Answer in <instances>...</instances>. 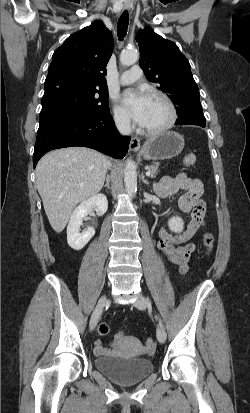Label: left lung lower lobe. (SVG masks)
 I'll return each mask as SVG.
<instances>
[{"mask_svg":"<svg viewBox=\"0 0 250 413\" xmlns=\"http://www.w3.org/2000/svg\"><path fill=\"white\" fill-rule=\"evenodd\" d=\"M193 106V104H190L188 107L180 106L176 109L178 119L176 120L175 125H198L205 127L206 120L203 115L201 104H197L195 110Z\"/></svg>","mask_w":250,"mask_h":413,"instance_id":"0a47b994","label":"left lung lower lobe"}]
</instances>
